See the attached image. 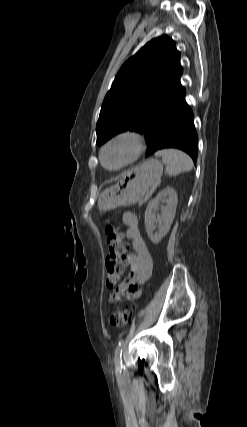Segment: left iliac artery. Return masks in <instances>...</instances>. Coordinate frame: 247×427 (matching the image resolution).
Returning <instances> with one entry per match:
<instances>
[{
	"instance_id": "44dca946",
	"label": "left iliac artery",
	"mask_w": 247,
	"mask_h": 427,
	"mask_svg": "<svg viewBox=\"0 0 247 427\" xmlns=\"http://www.w3.org/2000/svg\"><path fill=\"white\" fill-rule=\"evenodd\" d=\"M133 329V328H132ZM124 340L120 339L118 345L115 349V366L117 370L122 369V348H123Z\"/></svg>"
}]
</instances>
